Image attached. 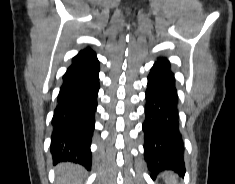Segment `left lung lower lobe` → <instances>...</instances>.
I'll return each mask as SVG.
<instances>
[{"mask_svg": "<svg viewBox=\"0 0 235 184\" xmlns=\"http://www.w3.org/2000/svg\"><path fill=\"white\" fill-rule=\"evenodd\" d=\"M143 123L144 155L153 173L173 170L184 177L183 141L179 132L177 94L170 63L160 57L151 68Z\"/></svg>", "mask_w": 235, "mask_h": 184, "instance_id": "1", "label": "left lung lower lobe"}]
</instances>
